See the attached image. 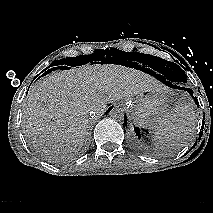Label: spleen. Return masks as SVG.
<instances>
[{"label": "spleen", "mask_w": 213, "mask_h": 213, "mask_svg": "<svg viewBox=\"0 0 213 213\" xmlns=\"http://www.w3.org/2000/svg\"><path fill=\"white\" fill-rule=\"evenodd\" d=\"M159 125L153 134L157 148L175 150L183 147L187 137L195 126V108L193 102L178 104L159 118Z\"/></svg>", "instance_id": "3e777b00"}]
</instances>
